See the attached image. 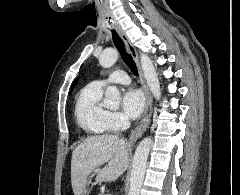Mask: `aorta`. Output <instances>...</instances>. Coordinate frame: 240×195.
<instances>
[{
	"mask_svg": "<svg viewBox=\"0 0 240 195\" xmlns=\"http://www.w3.org/2000/svg\"><path fill=\"white\" fill-rule=\"evenodd\" d=\"M117 58V50H114V48H107V50H104L101 56H99V64L102 68H111V66L116 64ZM140 58L143 76L150 88V92L153 94L154 98L160 99L161 88L152 60H150L149 56H146V54H142ZM105 98L107 99L108 105H113V103H116L117 105L120 99V92L118 88H116V86H109L105 92ZM151 145V137H144V139H142L136 147L132 161L130 189L128 191V195H140Z\"/></svg>",
	"mask_w": 240,
	"mask_h": 195,
	"instance_id": "762f6f07",
	"label": "aorta"
}]
</instances>
